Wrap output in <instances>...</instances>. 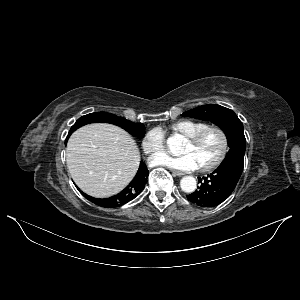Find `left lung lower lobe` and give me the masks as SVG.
<instances>
[{"label":"left lung lower lobe","instance_id":"left-lung-lower-lobe-1","mask_svg":"<svg viewBox=\"0 0 300 300\" xmlns=\"http://www.w3.org/2000/svg\"><path fill=\"white\" fill-rule=\"evenodd\" d=\"M244 157H225L220 166L207 177H199L198 190L187 199L200 207H214L227 199L235 189L242 174Z\"/></svg>","mask_w":300,"mask_h":300}]
</instances>
